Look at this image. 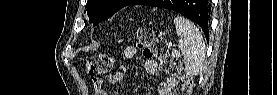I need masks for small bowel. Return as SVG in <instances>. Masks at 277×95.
Here are the masks:
<instances>
[{
    "label": "small bowel",
    "mask_w": 277,
    "mask_h": 95,
    "mask_svg": "<svg viewBox=\"0 0 277 95\" xmlns=\"http://www.w3.org/2000/svg\"><path fill=\"white\" fill-rule=\"evenodd\" d=\"M124 57L125 58H135L138 57L137 50L134 46H127L124 49ZM145 66L147 71L154 76H163L165 78V82L160 84L158 87V94L159 95H172L173 89L176 85V80L172 76H164L159 71L158 62L154 59H146L145 58ZM125 78V73L123 70H119L113 74H108L105 79H94V91L96 95H107L104 88L105 82L107 83H117L123 81Z\"/></svg>",
    "instance_id": "1"
}]
</instances>
